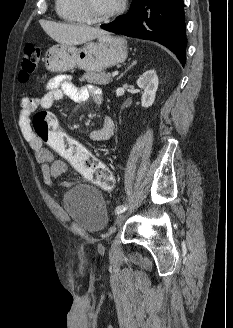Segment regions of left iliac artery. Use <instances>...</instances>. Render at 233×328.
I'll return each mask as SVG.
<instances>
[{"instance_id": "44dca946", "label": "left iliac artery", "mask_w": 233, "mask_h": 328, "mask_svg": "<svg viewBox=\"0 0 233 328\" xmlns=\"http://www.w3.org/2000/svg\"><path fill=\"white\" fill-rule=\"evenodd\" d=\"M127 209V205H120V206H117L116 209H115V213L116 214H121L122 212H124L125 210Z\"/></svg>"}]
</instances>
